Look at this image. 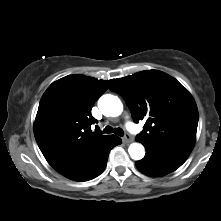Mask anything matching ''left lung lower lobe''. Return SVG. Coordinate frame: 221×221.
Masks as SVG:
<instances>
[{
	"mask_svg": "<svg viewBox=\"0 0 221 221\" xmlns=\"http://www.w3.org/2000/svg\"><path fill=\"white\" fill-rule=\"evenodd\" d=\"M145 158L135 162L142 173L160 177L178 169L190 155L194 144L176 143L162 146L144 145Z\"/></svg>",
	"mask_w": 221,
	"mask_h": 221,
	"instance_id": "left-lung-lower-lobe-1",
	"label": "left lung lower lobe"
}]
</instances>
